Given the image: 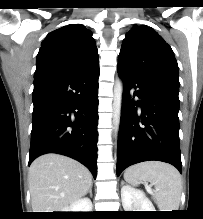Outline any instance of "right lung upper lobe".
Masks as SVG:
<instances>
[{"label": "right lung upper lobe", "instance_id": "obj_1", "mask_svg": "<svg viewBox=\"0 0 203 219\" xmlns=\"http://www.w3.org/2000/svg\"><path fill=\"white\" fill-rule=\"evenodd\" d=\"M98 66V50L92 32L82 24H70L50 32L37 55L35 77L51 73L87 71Z\"/></svg>", "mask_w": 203, "mask_h": 219}]
</instances>
